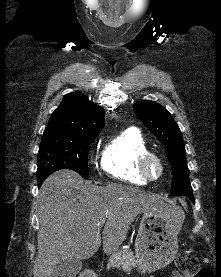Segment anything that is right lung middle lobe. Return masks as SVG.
<instances>
[{
	"label": "right lung middle lobe",
	"instance_id": "right-lung-middle-lobe-1",
	"mask_svg": "<svg viewBox=\"0 0 221 277\" xmlns=\"http://www.w3.org/2000/svg\"><path fill=\"white\" fill-rule=\"evenodd\" d=\"M100 131L44 132L38 152V182L60 169H72L89 178L87 153Z\"/></svg>",
	"mask_w": 221,
	"mask_h": 277
}]
</instances>
